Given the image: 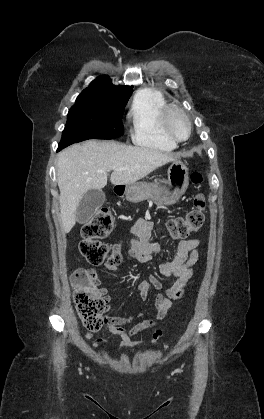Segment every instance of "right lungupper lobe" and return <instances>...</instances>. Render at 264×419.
<instances>
[{"label":"right lung upper lobe","mask_w":264,"mask_h":419,"mask_svg":"<svg viewBox=\"0 0 264 419\" xmlns=\"http://www.w3.org/2000/svg\"><path fill=\"white\" fill-rule=\"evenodd\" d=\"M132 91L130 86H114L108 76H100L91 82L83 92L129 98Z\"/></svg>","instance_id":"right-lung-upper-lobe-1"}]
</instances>
